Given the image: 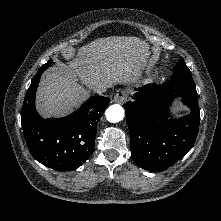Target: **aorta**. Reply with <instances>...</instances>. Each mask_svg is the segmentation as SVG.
<instances>
[{
	"label": "aorta",
	"mask_w": 221,
	"mask_h": 221,
	"mask_svg": "<svg viewBox=\"0 0 221 221\" xmlns=\"http://www.w3.org/2000/svg\"><path fill=\"white\" fill-rule=\"evenodd\" d=\"M106 119L111 123H116L124 118V109L118 104L111 105L107 108Z\"/></svg>",
	"instance_id": "1"
}]
</instances>
